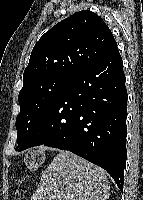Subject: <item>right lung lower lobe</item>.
I'll return each mask as SVG.
<instances>
[{"mask_svg": "<svg viewBox=\"0 0 143 200\" xmlns=\"http://www.w3.org/2000/svg\"><path fill=\"white\" fill-rule=\"evenodd\" d=\"M127 91L118 49L74 74L35 124L23 150H69L105 169L123 191Z\"/></svg>", "mask_w": 143, "mask_h": 200, "instance_id": "98d812e1", "label": "right lung lower lobe"}]
</instances>
